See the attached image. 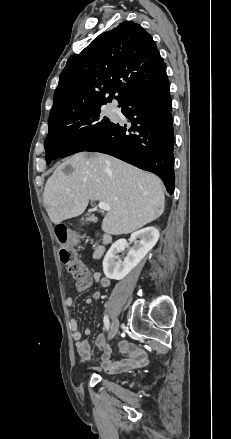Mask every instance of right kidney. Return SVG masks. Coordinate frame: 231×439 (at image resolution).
Wrapping results in <instances>:
<instances>
[{"label":"right kidney","mask_w":231,"mask_h":439,"mask_svg":"<svg viewBox=\"0 0 231 439\" xmlns=\"http://www.w3.org/2000/svg\"><path fill=\"white\" fill-rule=\"evenodd\" d=\"M159 239V231L154 227H146L134 232L130 237V248L126 258L122 262L118 259V253L122 252L128 242L125 239L117 240L106 253L103 260V271L107 278L121 280L135 268L146 254L156 245Z\"/></svg>","instance_id":"obj_1"}]
</instances>
